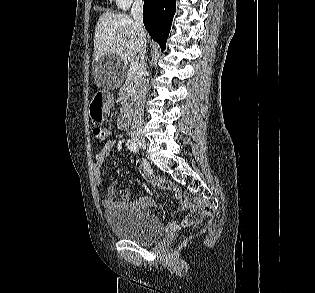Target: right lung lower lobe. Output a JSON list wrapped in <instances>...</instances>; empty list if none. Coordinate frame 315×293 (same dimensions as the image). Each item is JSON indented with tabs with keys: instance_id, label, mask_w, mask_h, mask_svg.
Returning <instances> with one entry per match:
<instances>
[{
	"instance_id": "right-lung-lower-lobe-1",
	"label": "right lung lower lobe",
	"mask_w": 315,
	"mask_h": 293,
	"mask_svg": "<svg viewBox=\"0 0 315 293\" xmlns=\"http://www.w3.org/2000/svg\"><path fill=\"white\" fill-rule=\"evenodd\" d=\"M176 0H144L143 22L150 34L161 47L166 48V41L175 14Z\"/></svg>"
}]
</instances>
